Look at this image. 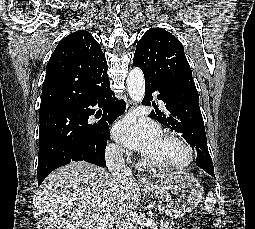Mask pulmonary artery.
I'll return each instance as SVG.
<instances>
[{
	"label": "pulmonary artery",
	"instance_id": "pulmonary-artery-1",
	"mask_svg": "<svg viewBox=\"0 0 255 229\" xmlns=\"http://www.w3.org/2000/svg\"><path fill=\"white\" fill-rule=\"evenodd\" d=\"M158 102L161 107H164V103L162 102V100H159Z\"/></svg>",
	"mask_w": 255,
	"mask_h": 229
}]
</instances>
